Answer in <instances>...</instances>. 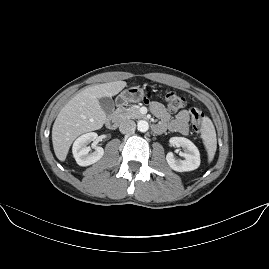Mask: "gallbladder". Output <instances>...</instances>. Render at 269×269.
Masks as SVG:
<instances>
[{"label":"gallbladder","instance_id":"bac80fb5","mask_svg":"<svg viewBox=\"0 0 269 269\" xmlns=\"http://www.w3.org/2000/svg\"><path fill=\"white\" fill-rule=\"evenodd\" d=\"M98 101L99 105L106 114H110L113 112L115 104L111 97L109 96L100 97Z\"/></svg>","mask_w":269,"mask_h":269}]
</instances>
